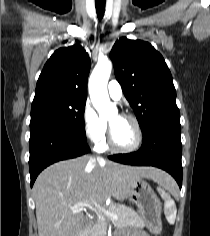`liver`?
<instances>
[{
	"label": "liver",
	"mask_w": 210,
	"mask_h": 236,
	"mask_svg": "<svg viewBox=\"0 0 210 236\" xmlns=\"http://www.w3.org/2000/svg\"><path fill=\"white\" fill-rule=\"evenodd\" d=\"M142 178L173 182L154 167H131L89 156L47 167L33 186L39 236H78L85 219L84 207H71L101 204L109 197L123 201L132 183Z\"/></svg>",
	"instance_id": "obj_1"
}]
</instances>
